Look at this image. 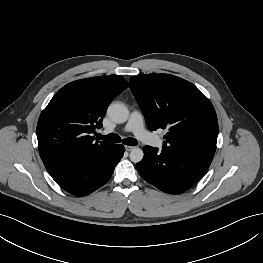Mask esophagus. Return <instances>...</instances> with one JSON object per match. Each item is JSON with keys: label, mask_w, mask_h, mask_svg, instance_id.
Returning <instances> with one entry per match:
<instances>
[{"label": "esophagus", "mask_w": 263, "mask_h": 263, "mask_svg": "<svg viewBox=\"0 0 263 263\" xmlns=\"http://www.w3.org/2000/svg\"><path fill=\"white\" fill-rule=\"evenodd\" d=\"M134 148H135V147H133V146H128V145L125 146L126 151H131V150H133Z\"/></svg>", "instance_id": "esophagus-1"}]
</instances>
